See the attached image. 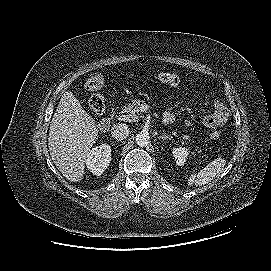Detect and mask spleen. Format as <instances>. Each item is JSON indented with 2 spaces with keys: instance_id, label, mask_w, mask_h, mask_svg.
<instances>
[{
  "instance_id": "3e777b00",
  "label": "spleen",
  "mask_w": 271,
  "mask_h": 271,
  "mask_svg": "<svg viewBox=\"0 0 271 271\" xmlns=\"http://www.w3.org/2000/svg\"><path fill=\"white\" fill-rule=\"evenodd\" d=\"M225 165V159L216 158L197 174L192 173L188 179V185L202 186L211 182L224 170Z\"/></svg>"
}]
</instances>
